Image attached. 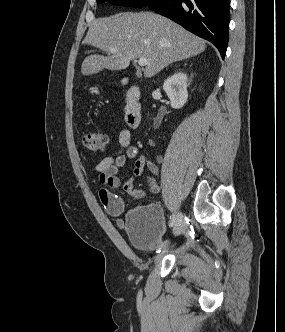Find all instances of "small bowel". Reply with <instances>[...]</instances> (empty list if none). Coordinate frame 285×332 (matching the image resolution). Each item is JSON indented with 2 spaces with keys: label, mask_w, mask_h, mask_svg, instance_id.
<instances>
[{
  "label": "small bowel",
  "mask_w": 285,
  "mask_h": 332,
  "mask_svg": "<svg viewBox=\"0 0 285 332\" xmlns=\"http://www.w3.org/2000/svg\"><path fill=\"white\" fill-rule=\"evenodd\" d=\"M119 149L112 156H106L96 165L95 171L98 174V180L103 187L99 190V199L104 206L107 214L116 219L119 227L124 226V222L120 219L124 212L125 206L122 198L115 193L121 190L124 194L135 199L146 196V192L135 187V180L141 176L148 168L152 175H159V167L149 160L146 156L139 155V148L131 144L130 130L123 128L118 134ZM128 159H134V167L132 176L122 183L118 176V171L123 167ZM147 183L151 193L157 194L161 190L160 184L149 176Z\"/></svg>",
  "instance_id": "obj_1"
}]
</instances>
